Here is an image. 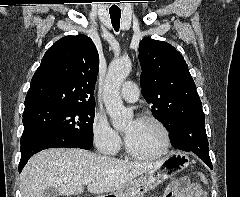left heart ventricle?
<instances>
[{"mask_svg":"<svg viewBox=\"0 0 240 197\" xmlns=\"http://www.w3.org/2000/svg\"><path fill=\"white\" fill-rule=\"evenodd\" d=\"M123 132L129 146L139 154H153L163 147V133L153 122L130 121Z\"/></svg>","mask_w":240,"mask_h":197,"instance_id":"obj_1","label":"left heart ventricle"}]
</instances>
